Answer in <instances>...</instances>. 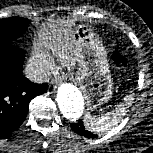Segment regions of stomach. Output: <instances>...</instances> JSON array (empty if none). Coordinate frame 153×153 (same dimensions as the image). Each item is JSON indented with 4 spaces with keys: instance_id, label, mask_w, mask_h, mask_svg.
I'll return each instance as SVG.
<instances>
[{
    "instance_id": "stomach-1",
    "label": "stomach",
    "mask_w": 153,
    "mask_h": 153,
    "mask_svg": "<svg viewBox=\"0 0 153 153\" xmlns=\"http://www.w3.org/2000/svg\"><path fill=\"white\" fill-rule=\"evenodd\" d=\"M74 40L79 51V72L76 79L90 109L107 103L113 94V79L104 45L85 23L74 27Z\"/></svg>"
}]
</instances>
